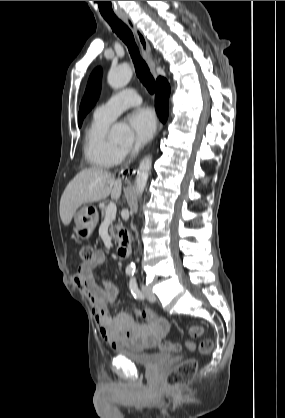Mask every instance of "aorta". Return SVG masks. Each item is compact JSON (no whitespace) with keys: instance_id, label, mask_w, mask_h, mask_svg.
Masks as SVG:
<instances>
[{"instance_id":"1","label":"aorta","mask_w":285,"mask_h":418,"mask_svg":"<svg viewBox=\"0 0 285 418\" xmlns=\"http://www.w3.org/2000/svg\"><path fill=\"white\" fill-rule=\"evenodd\" d=\"M132 74H133L132 68L127 63H123L116 67H112L107 77L108 84L113 89L123 88L131 80ZM130 135H131V131L125 125L116 124L112 127L111 138L114 141L121 142L125 140L126 138H128ZM151 166H152V158L151 156H147L141 161L138 167L137 175L135 178L136 193L138 196L142 195L146 187L148 176L151 170ZM129 268L135 269V264L130 263Z\"/></svg>"}]
</instances>
